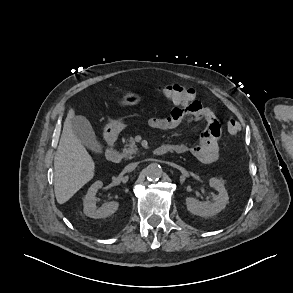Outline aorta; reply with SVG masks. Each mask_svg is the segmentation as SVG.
<instances>
[{"label": "aorta", "mask_w": 293, "mask_h": 293, "mask_svg": "<svg viewBox=\"0 0 293 293\" xmlns=\"http://www.w3.org/2000/svg\"><path fill=\"white\" fill-rule=\"evenodd\" d=\"M162 173V167L157 163H151L145 169V174L149 180H158Z\"/></svg>", "instance_id": "aorta-1"}]
</instances>
